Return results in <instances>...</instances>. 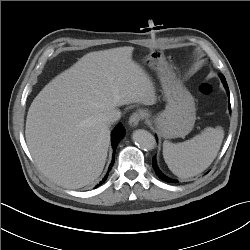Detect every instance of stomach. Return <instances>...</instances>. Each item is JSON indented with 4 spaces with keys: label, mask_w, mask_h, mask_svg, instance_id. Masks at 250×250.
<instances>
[{
    "label": "stomach",
    "mask_w": 250,
    "mask_h": 250,
    "mask_svg": "<svg viewBox=\"0 0 250 250\" xmlns=\"http://www.w3.org/2000/svg\"><path fill=\"white\" fill-rule=\"evenodd\" d=\"M150 68L157 71L167 105L154 117L158 134L163 138L185 137L196 120L194 98L169 67L164 55L152 51L145 59Z\"/></svg>",
    "instance_id": "stomach-1"
}]
</instances>
